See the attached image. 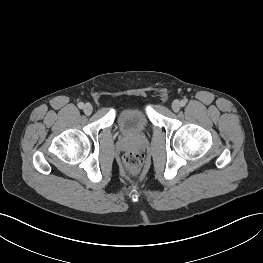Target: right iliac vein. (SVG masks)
Masks as SVG:
<instances>
[{"mask_svg":"<svg viewBox=\"0 0 263 263\" xmlns=\"http://www.w3.org/2000/svg\"><path fill=\"white\" fill-rule=\"evenodd\" d=\"M83 111H84V113L86 115H90L92 113V111H93L92 105L89 104V103L85 104L84 107H83Z\"/></svg>","mask_w":263,"mask_h":263,"instance_id":"right-iliac-vein-1","label":"right iliac vein"}]
</instances>
